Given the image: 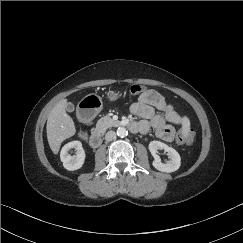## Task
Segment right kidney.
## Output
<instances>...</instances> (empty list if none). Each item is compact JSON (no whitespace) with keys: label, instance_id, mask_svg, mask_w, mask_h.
I'll use <instances>...</instances> for the list:
<instances>
[{"label":"right kidney","instance_id":"obj_1","mask_svg":"<svg viewBox=\"0 0 243 243\" xmlns=\"http://www.w3.org/2000/svg\"><path fill=\"white\" fill-rule=\"evenodd\" d=\"M70 149H75L76 155L71 156L69 154ZM85 157L86 154L82 147V143L80 141H72L67 143L66 145L63 146L60 153V158L61 161L63 162V166L65 169L69 171L80 169L84 164Z\"/></svg>","mask_w":243,"mask_h":243}]
</instances>
